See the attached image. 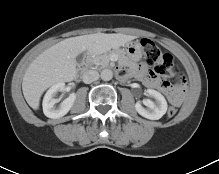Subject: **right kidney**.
Listing matches in <instances>:
<instances>
[{
  "instance_id": "right-kidney-1",
  "label": "right kidney",
  "mask_w": 219,
  "mask_h": 174,
  "mask_svg": "<svg viewBox=\"0 0 219 174\" xmlns=\"http://www.w3.org/2000/svg\"><path fill=\"white\" fill-rule=\"evenodd\" d=\"M65 89L64 83L54 84L45 94L43 99V112L45 116L57 119L66 115L71 107L74 104L76 99V94H71L68 98L62 101L58 107H56V103H58V99L55 98L57 92H62Z\"/></svg>"
}]
</instances>
